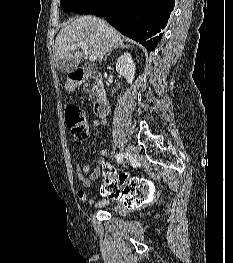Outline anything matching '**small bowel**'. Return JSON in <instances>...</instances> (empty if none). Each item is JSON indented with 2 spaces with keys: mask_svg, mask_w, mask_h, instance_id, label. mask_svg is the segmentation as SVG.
Listing matches in <instances>:
<instances>
[{
  "mask_svg": "<svg viewBox=\"0 0 233 263\" xmlns=\"http://www.w3.org/2000/svg\"><path fill=\"white\" fill-rule=\"evenodd\" d=\"M93 126L105 127L106 121L104 119L95 120L93 122ZM102 154H106V150H103ZM102 171H113L103 158H100L98 160L97 167L95 169H92L89 165L76 167L77 177L84 188H89L92 185L93 180H95L101 174ZM119 176H120V171H119ZM76 194L80 201L89 203L94 208H102L108 205L109 203H114L113 210L118 214H125L129 210L134 209V208H123L122 202H111V199H107V198L103 200L95 201L88 196L87 192L84 189H78Z\"/></svg>",
  "mask_w": 233,
  "mask_h": 263,
  "instance_id": "1",
  "label": "small bowel"
}]
</instances>
